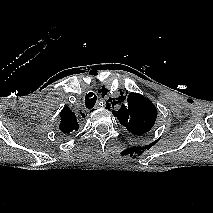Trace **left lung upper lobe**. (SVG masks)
<instances>
[{"label": "left lung upper lobe", "instance_id": "1", "mask_svg": "<svg viewBox=\"0 0 213 213\" xmlns=\"http://www.w3.org/2000/svg\"><path fill=\"white\" fill-rule=\"evenodd\" d=\"M113 101L115 104L120 103L121 107L112 113L132 134H145L154 126L158 114L157 108L148 98L139 93L126 92L124 95L121 92V96Z\"/></svg>", "mask_w": 213, "mask_h": 213}]
</instances>
